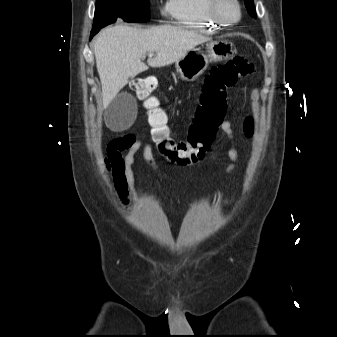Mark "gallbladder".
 Wrapping results in <instances>:
<instances>
[{
	"label": "gallbladder",
	"mask_w": 337,
	"mask_h": 337,
	"mask_svg": "<svg viewBox=\"0 0 337 337\" xmlns=\"http://www.w3.org/2000/svg\"><path fill=\"white\" fill-rule=\"evenodd\" d=\"M136 113V99L130 93L122 92L106 108L105 123L111 130H123L132 125Z\"/></svg>",
	"instance_id": "1"
}]
</instances>
